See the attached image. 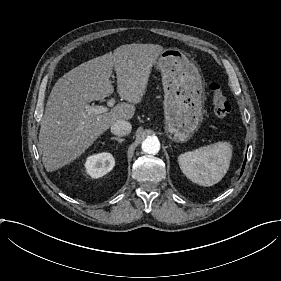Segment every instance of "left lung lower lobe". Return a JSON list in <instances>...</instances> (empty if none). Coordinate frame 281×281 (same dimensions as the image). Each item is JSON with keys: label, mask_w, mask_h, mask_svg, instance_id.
<instances>
[{"label": "left lung lower lobe", "mask_w": 281, "mask_h": 281, "mask_svg": "<svg viewBox=\"0 0 281 281\" xmlns=\"http://www.w3.org/2000/svg\"><path fill=\"white\" fill-rule=\"evenodd\" d=\"M246 162V161H245ZM245 162L243 164V167H242V171H241V174L243 173V170H244V166H245Z\"/></svg>", "instance_id": "1"}]
</instances>
